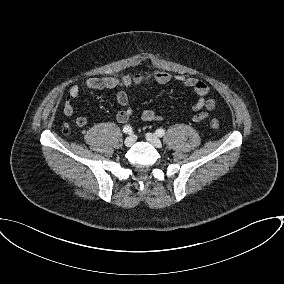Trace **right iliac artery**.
<instances>
[{"instance_id":"82829eb1","label":"right iliac artery","mask_w":284,"mask_h":284,"mask_svg":"<svg viewBox=\"0 0 284 284\" xmlns=\"http://www.w3.org/2000/svg\"><path fill=\"white\" fill-rule=\"evenodd\" d=\"M123 132L124 133H131L132 132L131 126H129V125L124 126Z\"/></svg>"}]
</instances>
